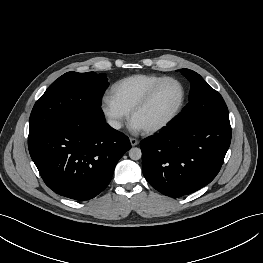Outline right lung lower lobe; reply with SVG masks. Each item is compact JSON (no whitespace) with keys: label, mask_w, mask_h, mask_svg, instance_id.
<instances>
[{"label":"right lung lower lobe","mask_w":263,"mask_h":263,"mask_svg":"<svg viewBox=\"0 0 263 263\" xmlns=\"http://www.w3.org/2000/svg\"><path fill=\"white\" fill-rule=\"evenodd\" d=\"M28 148L51 190L84 201L105 189L131 144L127 136L105 123L101 111L100 115L60 122L29 137Z\"/></svg>","instance_id":"right-lung-lower-lobe-1"}]
</instances>
